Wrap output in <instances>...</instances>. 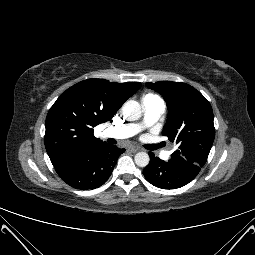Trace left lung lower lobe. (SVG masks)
<instances>
[{
  "mask_svg": "<svg viewBox=\"0 0 255 255\" xmlns=\"http://www.w3.org/2000/svg\"><path fill=\"white\" fill-rule=\"evenodd\" d=\"M150 163L144 168L143 174L148 182L161 189H175L192 181L200 168L169 160L165 162L153 153H149Z\"/></svg>",
  "mask_w": 255,
  "mask_h": 255,
  "instance_id": "left-lung-lower-lobe-1",
  "label": "left lung lower lobe"
}]
</instances>
